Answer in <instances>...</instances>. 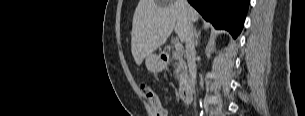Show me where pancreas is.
I'll use <instances>...</instances> for the list:
<instances>
[{
    "label": "pancreas",
    "mask_w": 305,
    "mask_h": 116,
    "mask_svg": "<svg viewBox=\"0 0 305 116\" xmlns=\"http://www.w3.org/2000/svg\"><path fill=\"white\" fill-rule=\"evenodd\" d=\"M171 61H174L176 78L180 80L183 79L187 70L183 59V50L181 48L172 51Z\"/></svg>",
    "instance_id": "pancreas-1"
}]
</instances>
